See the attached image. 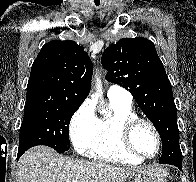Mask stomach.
I'll return each mask as SVG.
<instances>
[{"label": "stomach", "instance_id": "0dacf381", "mask_svg": "<svg viewBox=\"0 0 196 182\" xmlns=\"http://www.w3.org/2000/svg\"><path fill=\"white\" fill-rule=\"evenodd\" d=\"M168 173L160 167L140 170L131 175L125 182H166Z\"/></svg>", "mask_w": 196, "mask_h": 182}]
</instances>
